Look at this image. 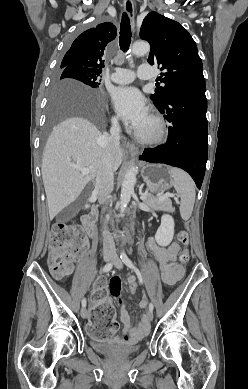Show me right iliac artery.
Here are the masks:
<instances>
[{
  "label": "right iliac artery",
  "instance_id": "82829eb1",
  "mask_svg": "<svg viewBox=\"0 0 248 389\" xmlns=\"http://www.w3.org/2000/svg\"><path fill=\"white\" fill-rule=\"evenodd\" d=\"M112 267H113V264H112L111 262H110V263H107V264L103 267L102 271H103V272H108V271H110V270L112 269ZM82 306H83V307H86V299H85V298L82 300Z\"/></svg>",
  "mask_w": 248,
  "mask_h": 389
}]
</instances>
